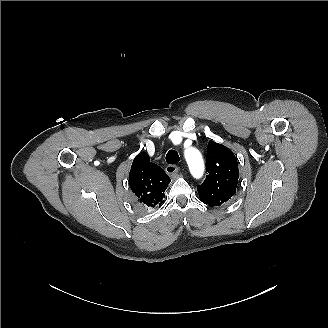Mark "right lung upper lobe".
I'll use <instances>...</instances> for the list:
<instances>
[{"instance_id": "right-lung-upper-lobe-1", "label": "right lung upper lobe", "mask_w": 328, "mask_h": 328, "mask_svg": "<svg viewBox=\"0 0 328 328\" xmlns=\"http://www.w3.org/2000/svg\"><path fill=\"white\" fill-rule=\"evenodd\" d=\"M170 181L162 168L150 162L148 154L141 153L134 158L129 173V184L138 197L140 206L146 209L160 207Z\"/></svg>"}]
</instances>
